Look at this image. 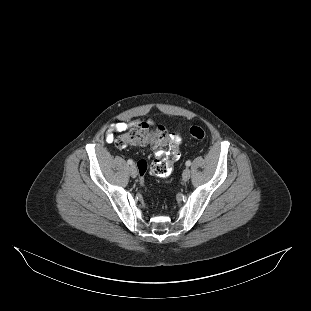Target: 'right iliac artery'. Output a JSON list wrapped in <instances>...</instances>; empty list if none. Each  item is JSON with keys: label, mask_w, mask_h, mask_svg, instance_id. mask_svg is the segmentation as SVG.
I'll use <instances>...</instances> for the list:
<instances>
[{"label": "right iliac artery", "mask_w": 311, "mask_h": 311, "mask_svg": "<svg viewBox=\"0 0 311 311\" xmlns=\"http://www.w3.org/2000/svg\"><path fill=\"white\" fill-rule=\"evenodd\" d=\"M127 162H128L129 165L133 164V161L131 159H129Z\"/></svg>", "instance_id": "1"}]
</instances>
